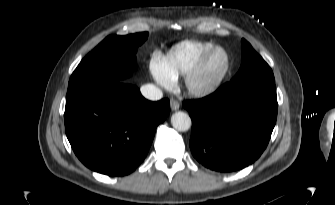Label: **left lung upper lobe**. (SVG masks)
I'll return each instance as SVG.
<instances>
[{"instance_id": "obj_1", "label": "left lung upper lobe", "mask_w": 335, "mask_h": 205, "mask_svg": "<svg viewBox=\"0 0 335 205\" xmlns=\"http://www.w3.org/2000/svg\"><path fill=\"white\" fill-rule=\"evenodd\" d=\"M242 44V63L238 73L232 80L241 81L246 79H263L275 82L273 72L263 58L245 40Z\"/></svg>"}]
</instances>
